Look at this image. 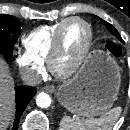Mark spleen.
<instances>
[{
  "mask_svg": "<svg viewBox=\"0 0 130 130\" xmlns=\"http://www.w3.org/2000/svg\"><path fill=\"white\" fill-rule=\"evenodd\" d=\"M121 111V107H115L99 118L81 120H73L71 117L65 116L60 121L59 130H112Z\"/></svg>",
  "mask_w": 130,
  "mask_h": 130,
  "instance_id": "3e777b00",
  "label": "spleen"
}]
</instances>
